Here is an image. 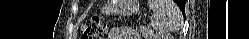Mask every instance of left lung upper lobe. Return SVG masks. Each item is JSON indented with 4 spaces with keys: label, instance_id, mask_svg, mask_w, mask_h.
Segmentation results:
<instances>
[{
    "label": "left lung upper lobe",
    "instance_id": "obj_1",
    "mask_svg": "<svg viewBox=\"0 0 249 39\" xmlns=\"http://www.w3.org/2000/svg\"><path fill=\"white\" fill-rule=\"evenodd\" d=\"M179 6L181 5L182 6V2H179V4H178Z\"/></svg>",
    "mask_w": 249,
    "mask_h": 39
}]
</instances>
